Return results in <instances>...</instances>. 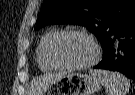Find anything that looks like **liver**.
I'll return each mask as SVG.
<instances>
[{
    "label": "liver",
    "mask_w": 135,
    "mask_h": 95,
    "mask_svg": "<svg viewBox=\"0 0 135 95\" xmlns=\"http://www.w3.org/2000/svg\"><path fill=\"white\" fill-rule=\"evenodd\" d=\"M64 73L59 74H45L35 80L31 85L30 95H39L46 87L49 86L53 81L64 76Z\"/></svg>",
    "instance_id": "obj_1"
}]
</instances>
